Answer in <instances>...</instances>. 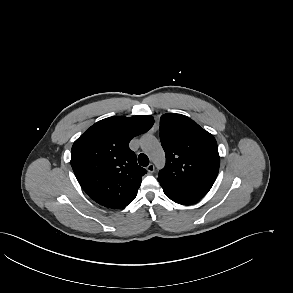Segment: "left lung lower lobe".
I'll use <instances>...</instances> for the list:
<instances>
[{
	"instance_id": "1",
	"label": "left lung lower lobe",
	"mask_w": 293,
	"mask_h": 293,
	"mask_svg": "<svg viewBox=\"0 0 293 293\" xmlns=\"http://www.w3.org/2000/svg\"><path fill=\"white\" fill-rule=\"evenodd\" d=\"M164 193L166 194V196L168 198H170L171 200H173L174 202L179 203V204H192V203L199 200L197 198H193V197H189V196L170 194L165 191H164Z\"/></svg>"
}]
</instances>
